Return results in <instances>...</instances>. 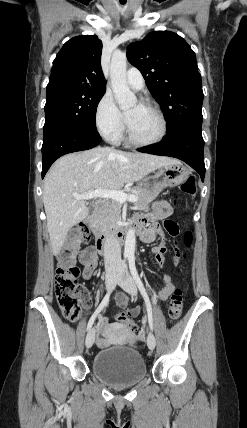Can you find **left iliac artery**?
Returning a JSON list of instances; mask_svg holds the SVG:
<instances>
[{"label":"left iliac artery","mask_w":247,"mask_h":428,"mask_svg":"<svg viewBox=\"0 0 247 428\" xmlns=\"http://www.w3.org/2000/svg\"><path fill=\"white\" fill-rule=\"evenodd\" d=\"M128 261H129V268H130L131 274L133 276V279L136 282V284L139 288V291H140L142 297L144 298V301L146 304L147 314H148V322H149L150 329L153 330L152 307H151V302H150L149 296H148V294L145 290V287H144V285H143V283H142V281L138 275V272L136 270L134 256H129Z\"/></svg>","instance_id":"44dca946"}]
</instances>
